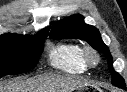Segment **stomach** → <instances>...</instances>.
<instances>
[{"mask_svg":"<svg viewBox=\"0 0 127 92\" xmlns=\"http://www.w3.org/2000/svg\"><path fill=\"white\" fill-rule=\"evenodd\" d=\"M84 90H88V88L85 86H81V87L77 88V92H84Z\"/></svg>","mask_w":127,"mask_h":92,"instance_id":"1","label":"stomach"}]
</instances>
